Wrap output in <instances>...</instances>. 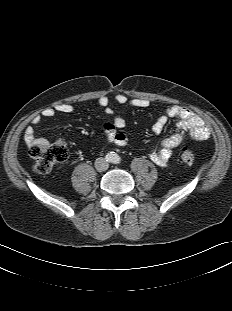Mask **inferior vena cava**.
<instances>
[{
    "label": "inferior vena cava",
    "mask_w": 232,
    "mask_h": 311,
    "mask_svg": "<svg viewBox=\"0 0 232 311\" xmlns=\"http://www.w3.org/2000/svg\"><path fill=\"white\" fill-rule=\"evenodd\" d=\"M109 167V163L105 158L99 157L95 160V168L97 171H105Z\"/></svg>",
    "instance_id": "obj_1"
}]
</instances>
